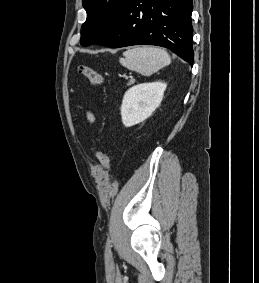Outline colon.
Returning a JSON list of instances; mask_svg holds the SVG:
<instances>
[{
    "instance_id": "colon-1",
    "label": "colon",
    "mask_w": 259,
    "mask_h": 283,
    "mask_svg": "<svg viewBox=\"0 0 259 283\" xmlns=\"http://www.w3.org/2000/svg\"><path fill=\"white\" fill-rule=\"evenodd\" d=\"M78 72L87 78L89 82L92 85H102L104 83V77L96 71L93 67L87 65V64H81L78 66ZM98 159L104 169L106 171H110L111 169V164H110V159L109 155L105 151H99L98 152Z\"/></svg>"
}]
</instances>
